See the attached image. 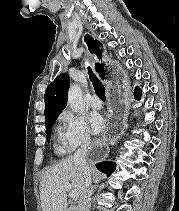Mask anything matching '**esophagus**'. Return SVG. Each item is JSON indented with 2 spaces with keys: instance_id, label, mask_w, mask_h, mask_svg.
I'll use <instances>...</instances> for the list:
<instances>
[{
  "instance_id": "1",
  "label": "esophagus",
  "mask_w": 179,
  "mask_h": 211,
  "mask_svg": "<svg viewBox=\"0 0 179 211\" xmlns=\"http://www.w3.org/2000/svg\"><path fill=\"white\" fill-rule=\"evenodd\" d=\"M84 40L91 56L94 57V61H97L95 72L98 79L107 82V106H109L107 112L110 119H107V128H105L104 133L105 140H102V144H93V147H90V151H88V163H101V159H105L108 145H115L119 133H124V130H126L128 112H125V109H128V98L124 91H129V86L126 77H120L125 72V67H116L120 60H110L106 56V52H103V45H97L91 36L86 35Z\"/></svg>"
}]
</instances>
